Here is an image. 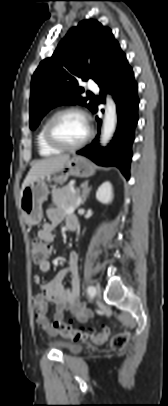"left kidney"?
I'll return each instance as SVG.
<instances>
[{
	"label": "left kidney",
	"mask_w": 168,
	"mask_h": 406,
	"mask_svg": "<svg viewBox=\"0 0 168 406\" xmlns=\"http://www.w3.org/2000/svg\"><path fill=\"white\" fill-rule=\"evenodd\" d=\"M96 198L103 204H108L113 199V189L110 182H104L96 192Z\"/></svg>",
	"instance_id": "1"
}]
</instances>
